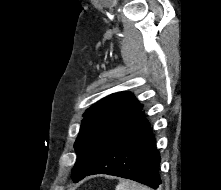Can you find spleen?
<instances>
[{
  "label": "spleen",
  "instance_id": "spleen-1",
  "mask_svg": "<svg viewBox=\"0 0 221 190\" xmlns=\"http://www.w3.org/2000/svg\"><path fill=\"white\" fill-rule=\"evenodd\" d=\"M115 190H150L135 182L123 181L116 186Z\"/></svg>",
  "mask_w": 221,
  "mask_h": 190
}]
</instances>
